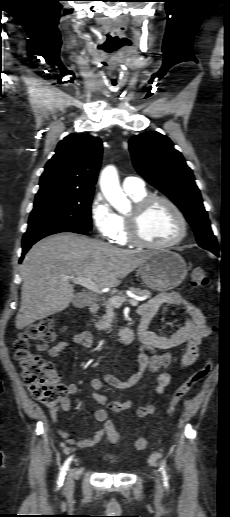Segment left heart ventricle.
Listing matches in <instances>:
<instances>
[{
  "instance_id": "b2bd125f",
  "label": "left heart ventricle",
  "mask_w": 230,
  "mask_h": 517,
  "mask_svg": "<svg viewBox=\"0 0 230 517\" xmlns=\"http://www.w3.org/2000/svg\"><path fill=\"white\" fill-rule=\"evenodd\" d=\"M181 230L178 217L163 202L153 203L141 220V231L147 240L165 243L173 240Z\"/></svg>"
}]
</instances>
